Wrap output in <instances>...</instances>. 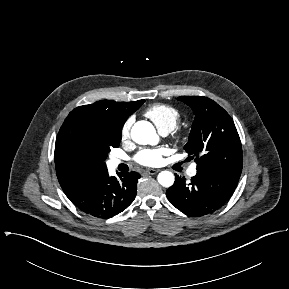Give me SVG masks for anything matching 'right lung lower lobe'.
I'll return each mask as SVG.
<instances>
[{
  "mask_svg": "<svg viewBox=\"0 0 289 289\" xmlns=\"http://www.w3.org/2000/svg\"><path fill=\"white\" fill-rule=\"evenodd\" d=\"M109 176L104 171L67 197L86 214L111 218L124 211L136 196L137 172L117 173Z\"/></svg>",
  "mask_w": 289,
  "mask_h": 289,
  "instance_id": "1",
  "label": "right lung lower lobe"
}]
</instances>
